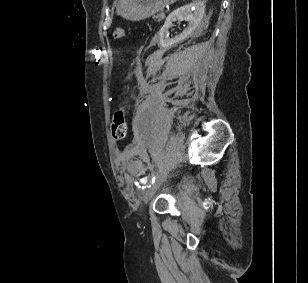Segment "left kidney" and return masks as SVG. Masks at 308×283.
Wrapping results in <instances>:
<instances>
[{
    "label": "left kidney",
    "instance_id": "left-kidney-1",
    "mask_svg": "<svg viewBox=\"0 0 308 283\" xmlns=\"http://www.w3.org/2000/svg\"><path fill=\"white\" fill-rule=\"evenodd\" d=\"M205 15V2L204 0H194L192 3L180 7L170 13L166 18V21L158 33L159 44L164 47H170L188 37L200 24ZM187 21L188 27L184 31L175 36L169 38L168 30L173 26L175 21Z\"/></svg>",
    "mask_w": 308,
    "mask_h": 283
}]
</instances>
